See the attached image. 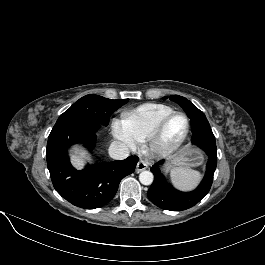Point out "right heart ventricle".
I'll return each mask as SVG.
<instances>
[{"instance_id":"obj_1","label":"right heart ventricle","mask_w":265,"mask_h":265,"mask_svg":"<svg viewBox=\"0 0 265 265\" xmlns=\"http://www.w3.org/2000/svg\"><path fill=\"white\" fill-rule=\"evenodd\" d=\"M173 109L164 104L147 103L123 112L122 120L136 140H144L157 122Z\"/></svg>"}]
</instances>
